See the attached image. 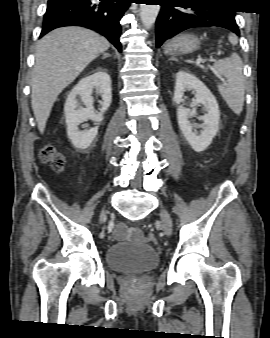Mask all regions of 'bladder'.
I'll return each mask as SVG.
<instances>
[{
	"mask_svg": "<svg viewBox=\"0 0 270 338\" xmlns=\"http://www.w3.org/2000/svg\"><path fill=\"white\" fill-rule=\"evenodd\" d=\"M159 262L156 248L143 242L112 243L107 249V264L118 273H142L154 269Z\"/></svg>",
	"mask_w": 270,
	"mask_h": 338,
	"instance_id": "obj_1",
	"label": "bladder"
}]
</instances>
